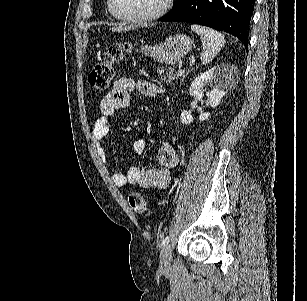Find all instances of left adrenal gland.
I'll list each match as a JSON object with an SVG mask.
<instances>
[{"label": "left adrenal gland", "instance_id": "1", "mask_svg": "<svg viewBox=\"0 0 307 301\" xmlns=\"http://www.w3.org/2000/svg\"><path fill=\"white\" fill-rule=\"evenodd\" d=\"M187 74H188V72H186V74H184L183 78H181V82H180V84H182V82H183V80H184L185 76H187Z\"/></svg>", "mask_w": 307, "mask_h": 301}]
</instances>
